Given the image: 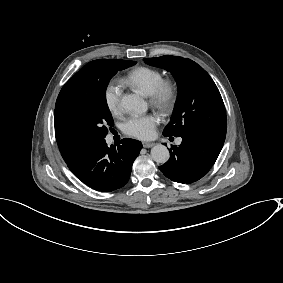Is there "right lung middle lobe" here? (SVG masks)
Instances as JSON below:
<instances>
[{"label":"right lung middle lobe","instance_id":"dd1d6c3e","mask_svg":"<svg viewBox=\"0 0 283 283\" xmlns=\"http://www.w3.org/2000/svg\"><path fill=\"white\" fill-rule=\"evenodd\" d=\"M135 64V61L108 59L96 67L86 83L60 92L55 107L59 123L87 141L104 139L107 126L114 125L106 102L107 85L119 70Z\"/></svg>","mask_w":283,"mask_h":283}]
</instances>
